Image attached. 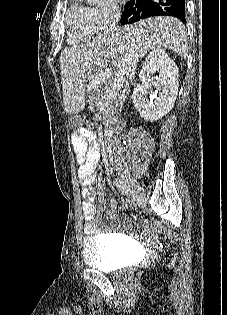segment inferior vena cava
<instances>
[{
    "mask_svg": "<svg viewBox=\"0 0 227 315\" xmlns=\"http://www.w3.org/2000/svg\"><path fill=\"white\" fill-rule=\"evenodd\" d=\"M121 13L120 10L117 7H113L111 10V20L110 23L105 31L106 34L113 33L118 30V22L120 19ZM119 86H121L122 90L120 91V94L116 98V107H117V115L120 116V112L122 111L123 104L126 99V92H127V81L123 77L122 81L120 82ZM116 135H118V132H116ZM117 151V148H113V152ZM121 151V149L118 148V152Z\"/></svg>",
    "mask_w": 227,
    "mask_h": 315,
    "instance_id": "obj_1",
    "label": "inferior vena cava"
}]
</instances>
